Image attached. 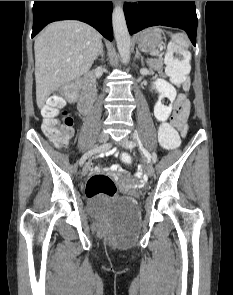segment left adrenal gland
<instances>
[{
	"mask_svg": "<svg viewBox=\"0 0 233 295\" xmlns=\"http://www.w3.org/2000/svg\"><path fill=\"white\" fill-rule=\"evenodd\" d=\"M135 59H140L141 64H142V65L144 64L143 57H142V55L139 53L138 49H136Z\"/></svg>",
	"mask_w": 233,
	"mask_h": 295,
	"instance_id": "1",
	"label": "left adrenal gland"
}]
</instances>
